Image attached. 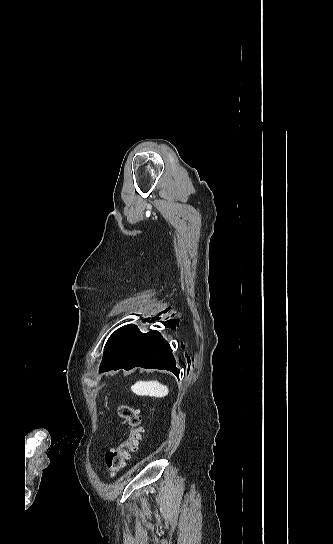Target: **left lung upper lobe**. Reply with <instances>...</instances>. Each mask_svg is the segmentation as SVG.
I'll return each instance as SVG.
<instances>
[{
    "label": "left lung upper lobe",
    "mask_w": 333,
    "mask_h": 544,
    "mask_svg": "<svg viewBox=\"0 0 333 544\" xmlns=\"http://www.w3.org/2000/svg\"><path fill=\"white\" fill-rule=\"evenodd\" d=\"M107 354H108V350H107V349H105V353H104L103 361H104L105 357L107 356ZM103 361H102V362H103Z\"/></svg>",
    "instance_id": "1"
}]
</instances>
